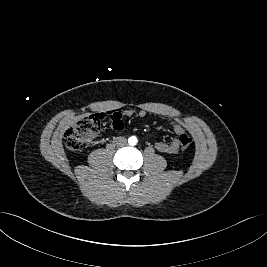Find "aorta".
<instances>
[{"label":"aorta","mask_w":267,"mask_h":267,"mask_svg":"<svg viewBox=\"0 0 267 267\" xmlns=\"http://www.w3.org/2000/svg\"><path fill=\"white\" fill-rule=\"evenodd\" d=\"M137 138L135 137V136H132V137H130L129 139H128V143H129V145H131V146H134V145H136L137 144Z\"/></svg>","instance_id":"1"}]
</instances>
